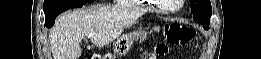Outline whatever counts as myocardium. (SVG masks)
<instances>
[{"label": "myocardium", "mask_w": 261, "mask_h": 59, "mask_svg": "<svg viewBox=\"0 0 261 59\" xmlns=\"http://www.w3.org/2000/svg\"><path fill=\"white\" fill-rule=\"evenodd\" d=\"M152 2L155 3V5L157 6V8L160 11L167 12V13H172V12L178 11L182 7V4H183L184 0H180L179 6L177 8H175V9L161 8V7L158 6V1H152Z\"/></svg>", "instance_id": "obj_1"}]
</instances>
